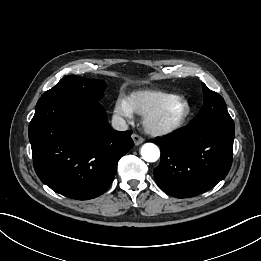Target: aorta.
<instances>
[{
	"label": "aorta",
	"instance_id": "762f6f07",
	"mask_svg": "<svg viewBox=\"0 0 261 261\" xmlns=\"http://www.w3.org/2000/svg\"><path fill=\"white\" fill-rule=\"evenodd\" d=\"M141 156L147 162H155L160 157V150L155 144L146 143L141 148Z\"/></svg>",
	"mask_w": 261,
	"mask_h": 261
}]
</instances>
